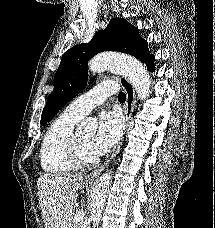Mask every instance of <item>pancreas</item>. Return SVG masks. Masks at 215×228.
<instances>
[{
  "mask_svg": "<svg viewBox=\"0 0 215 228\" xmlns=\"http://www.w3.org/2000/svg\"><path fill=\"white\" fill-rule=\"evenodd\" d=\"M72 228H79V224H77V222H74V220H72Z\"/></svg>",
  "mask_w": 215,
  "mask_h": 228,
  "instance_id": "pancreas-1",
  "label": "pancreas"
}]
</instances>
